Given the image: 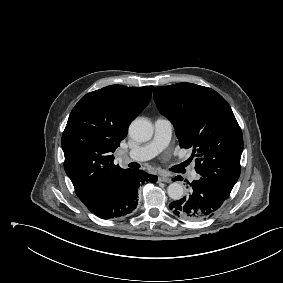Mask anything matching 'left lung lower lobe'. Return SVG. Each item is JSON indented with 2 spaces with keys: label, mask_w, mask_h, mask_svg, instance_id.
<instances>
[{
  "label": "left lung lower lobe",
  "mask_w": 283,
  "mask_h": 283,
  "mask_svg": "<svg viewBox=\"0 0 283 283\" xmlns=\"http://www.w3.org/2000/svg\"><path fill=\"white\" fill-rule=\"evenodd\" d=\"M173 180L183 178L178 175ZM188 184L191 187L189 195L170 203L169 208L177 217L189 221L205 220L213 216L232 190L221 182L204 177Z\"/></svg>",
  "instance_id": "1"
}]
</instances>
